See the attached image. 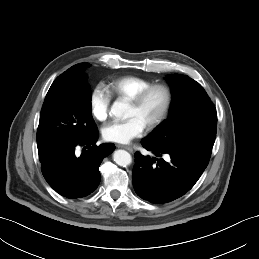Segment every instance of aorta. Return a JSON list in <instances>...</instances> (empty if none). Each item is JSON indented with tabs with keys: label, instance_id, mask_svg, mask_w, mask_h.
<instances>
[{
	"label": "aorta",
	"instance_id": "aorta-1",
	"mask_svg": "<svg viewBox=\"0 0 259 259\" xmlns=\"http://www.w3.org/2000/svg\"><path fill=\"white\" fill-rule=\"evenodd\" d=\"M110 113L118 118H126L127 117V105L122 102H114ZM114 161L117 165L126 167L132 163V157L130 153L125 150H117L113 154Z\"/></svg>",
	"mask_w": 259,
	"mask_h": 259
}]
</instances>
